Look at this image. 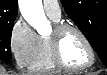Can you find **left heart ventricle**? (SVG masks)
<instances>
[{
	"instance_id": "left-heart-ventricle-1",
	"label": "left heart ventricle",
	"mask_w": 107,
	"mask_h": 75,
	"mask_svg": "<svg viewBox=\"0 0 107 75\" xmlns=\"http://www.w3.org/2000/svg\"><path fill=\"white\" fill-rule=\"evenodd\" d=\"M61 52L64 60L72 66H81L89 61L87 47L74 31H67L63 34Z\"/></svg>"
}]
</instances>
